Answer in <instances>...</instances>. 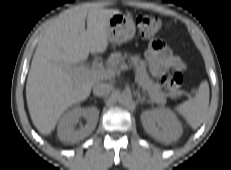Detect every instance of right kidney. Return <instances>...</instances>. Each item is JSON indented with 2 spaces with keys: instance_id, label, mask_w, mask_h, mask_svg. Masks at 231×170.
<instances>
[{
  "instance_id": "ca27d5eb",
  "label": "right kidney",
  "mask_w": 231,
  "mask_h": 170,
  "mask_svg": "<svg viewBox=\"0 0 231 170\" xmlns=\"http://www.w3.org/2000/svg\"><path fill=\"white\" fill-rule=\"evenodd\" d=\"M84 117L87 120L85 126L75 130V123L80 118ZM99 117V110L95 107L81 108L80 106L73 107L59 121L57 132L61 141L67 143H76L88 135L95 129Z\"/></svg>"
}]
</instances>
